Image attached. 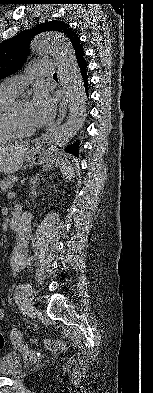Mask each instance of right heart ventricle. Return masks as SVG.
<instances>
[{
    "mask_svg": "<svg viewBox=\"0 0 153 393\" xmlns=\"http://www.w3.org/2000/svg\"><path fill=\"white\" fill-rule=\"evenodd\" d=\"M18 94L0 87V144H5L14 139V133L9 125V109Z\"/></svg>",
    "mask_w": 153,
    "mask_h": 393,
    "instance_id": "right-heart-ventricle-1",
    "label": "right heart ventricle"
}]
</instances>
